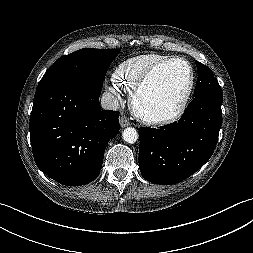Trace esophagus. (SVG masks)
<instances>
[{"label":"esophagus","instance_id":"1","mask_svg":"<svg viewBox=\"0 0 253 253\" xmlns=\"http://www.w3.org/2000/svg\"><path fill=\"white\" fill-rule=\"evenodd\" d=\"M119 120H120V126L122 128L127 127V126L130 125V122H129L128 118L124 115H121Z\"/></svg>","mask_w":253,"mask_h":253}]
</instances>
